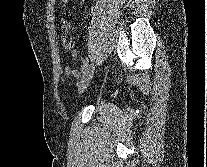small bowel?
I'll use <instances>...</instances> for the list:
<instances>
[{
  "instance_id": "1",
  "label": "small bowel",
  "mask_w": 207,
  "mask_h": 167,
  "mask_svg": "<svg viewBox=\"0 0 207 167\" xmlns=\"http://www.w3.org/2000/svg\"><path fill=\"white\" fill-rule=\"evenodd\" d=\"M59 1H60V4L62 6H66L67 4H69L71 2V0H59ZM62 24H63V28H64L65 31L72 30L71 25L68 24L67 22H62ZM61 38H62V41H63L64 49L70 52L73 59H77L78 53L74 49V38L71 37L70 39H66V37L64 35H62ZM82 59L85 61L87 58L82 56ZM64 72H65L66 75L73 76V77H79L81 75L79 70H77L75 68H72L69 65H66L64 67Z\"/></svg>"
}]
</instances>
